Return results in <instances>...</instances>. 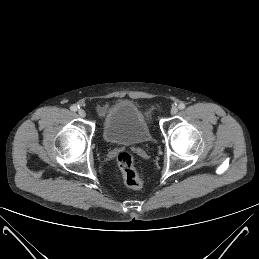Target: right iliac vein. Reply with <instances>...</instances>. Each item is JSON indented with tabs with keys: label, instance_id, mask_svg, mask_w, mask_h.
<instances>
[{
	"label": "right iliac vein",
	"instance_id": "obj_1",
	"mask_svg": "<svg viewBox=\"0 0 259 259\" xmlns=\"http://www.w3.org/2000/svg\"><path fill=\"white\" fill-rule=\"evenodd\" d=\"M78 114L82 118H84L86 116V112L83 109L78 110Z\"/></svg>",
	"mask_w": 259,
	"mask_h": 259
}]
</instances>
